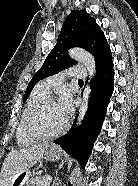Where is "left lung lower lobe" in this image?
Segmentation results:
<instances>
[{"label":"left lung lower lobe","instance_id":"obj_1","mask_svg":"<svg viewBox=\"0 0 138 186\" xmlns=\"http://www.w3.org/2000/svg\"><path fill=\"white\" fill-rule=\"evenodd\" d=\"M91 87L89 107L82 125L79 128L73 126L68 134L54 141L75 158L83 168H85L94 142L101 130L109 99L113 93V62L96 71Z\"/></svg>","mask_w":138,"mask_h":186}]
</instances>
